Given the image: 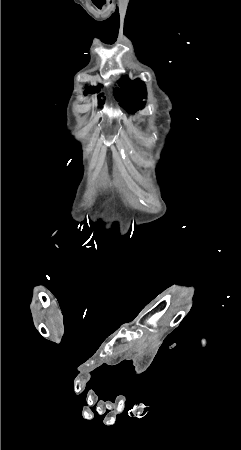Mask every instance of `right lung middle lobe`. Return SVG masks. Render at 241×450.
<instances>
[{
    "label": "right lung middle lobe",
    "instance_id": "1",
    "mask_svg": "<svg viewBox=\"0 0 241 450\" xmlns=\"http://www.w3.org/2000/svg\"><path fill=\"white\" fill-rule=\"evenodd\" d=\"M86 90L89 91L90 93H95V92L99 91V88L98 87H93V88L89 89V87H87ZM99 103H103V101L100 100Z\"/></svg>",
    "mask_w": 241,
    "mask_h": 450
}]
</instances>
